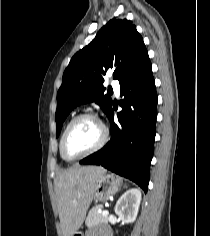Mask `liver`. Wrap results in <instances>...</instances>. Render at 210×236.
<instances>
[{"instance_id": "1", "label": "liver", "mask_w": 210, "mask_h": 236, "mask_svg": "<svg viewBox=\"0 0 210 236\" xmlns=\"http://www.w3.org/2000/svg\"><path fill=\"white\" fill-rule=\"evenodd\" d=\"M105 172L103 167L75 166L57 175L55 193L63 236H73L82 226L95 183Z\"/></svg>"}]
</instances>
